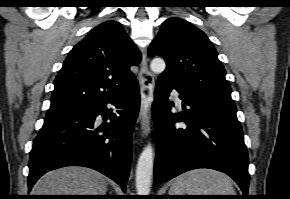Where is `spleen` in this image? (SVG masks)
<instances>
[{
    "mask_svg": "<svg viewBox=\"0 0 290 199\" xmlns=\"http://www.w3.org/2000/svg\"><path fill=\"white\" fill-rule=\"evenodd\" d=\"M236 195L230 178L216 170L195 169L177 177L170 195Z\"/></svg>",
    "mask_w": 290,
    "mask_h": 199,
    "instance_id": "obj_1",
    "label": "spleen"
}]
</instances>
